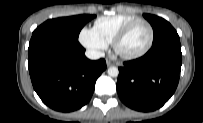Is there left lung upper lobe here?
<instances>
[{
    "label": "left lung upper lobe",
    "mask_w": 203,
    "mask_h": 123,
    "mask_svg": "<svg viewBox=\"0 0 203 123\" xmlns=\"http://www.w3.org/2000/svg\"><path fill=\"white\" fill-rule=\"evenodd\" d=\"M143 16L149 21L153 28L154 38L152 45L169 37L178 36L176 30L165 19L151 14H144Z\"/></svg>",
    "instance_id": "1"
}]
</instances>
